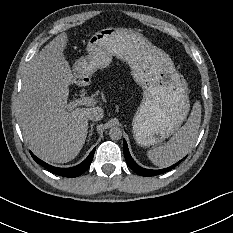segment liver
<instances>
[{"label": "liver", "mask_w": 233, "mask_h": 233, "mask_svg": "<svg viewBox=\"0 0 233 233\" xmlns=\"http://www.w3.org/2000/svg\"><path fill=\"white\" fill-rule=\"evenodd\" d=\"M66 35L61 33L34 58L24 73L18 118L25 140L39 159L66 163L85 142L88 116L94 108L68 105L73 76L61 57Z\"/></svg>", "instance_id": "obj_1"}]
</instances>
